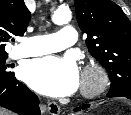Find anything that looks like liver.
<instances>
[{
    "label": "liver",
    "instance_id": "1",
    "mask_svg": "<svg viewBox=\"0 0 131 115\" xmlns=\"http://www.w3.org/2000/svg\"><path fill=\"white\" fill-rule=\"evenodd\" d=\"M0 115H13V114L0 107Z\"/></svg>",
    "mask_w": 131,
    "mask_h": 115
}]
</instances>
